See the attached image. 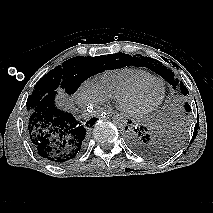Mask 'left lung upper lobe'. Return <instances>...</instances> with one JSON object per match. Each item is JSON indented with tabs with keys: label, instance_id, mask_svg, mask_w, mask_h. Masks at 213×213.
Returning <instances> with one entry per match:
<instances>
[{
	"label": "left lung upper lobe",
	"instance_id": "1",
	"mask_svg": "<svg viewBox=\"0 0 213 213\" xmlns=\"http://www.w3.org/2000/svg\"><path fill=\"white\" fill-rule=\"evenodd\" d=\"M128 62L126 63L127 66L133 65L136 67H147L154 71L155 73L162 76L172 87L176 89L179 87L181 93L186 96L189 94L188 89L184 86L183 82H179L177 78H175L174 73L166 69V67L162 66L158 61L155 59L144 57L139 54L136 56L127 55ZM185 110L186 112L190 111V106L188 103H185ZM164 147L165 152L167 151ZM168 148V147H167Z\"/></svg>",
	"mask_w": 213,
	"mask_h": 213
}]
</instances>
